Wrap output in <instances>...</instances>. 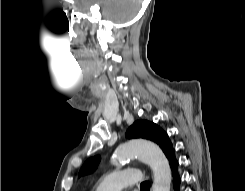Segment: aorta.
I'll return each instance as SVG.
<instances>
[{
    "mask_svg": "<svg viewBox=\"0 0 245 191\" xmlns=\"http://www.w3.org/2000/svg\"><path fill=\"white\" fill-rule=\"evenodd\" d=\"M138 157L148 164L154 175L152 191H170L171 169L162 150L154 143L145 140H131L120 145L113 154L115 165Z\"/></svg>",
    "mask_w": 245,
    "mask_h": 191,
    "instance_id": "obj_1",
    "label": "aorta"
}]
</instances>
